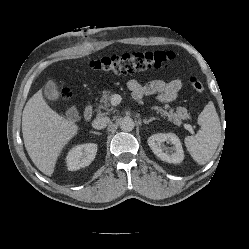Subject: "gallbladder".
Wrapping results in <instances>:
<instances>
[{
    "label": "gallbladder",
    "mask_w": 249,
    "mask_h": 249,
    "mask_svg": "<svg viewBox=\"0 0 249 249\" xmlns=\"http://www.w3.org/2000/svg\"><path fill=\"white\" fill-rule=\"evenodd\" d=\"M45 97L50 101H56L59 99V92L56 84L53 81H48L43 89ZM66 116L70 120H76L78 118V112L75 108H70L66 111Z\"/></svg>",
    "instance_id": "bac80fb5"
}]
</instances>
